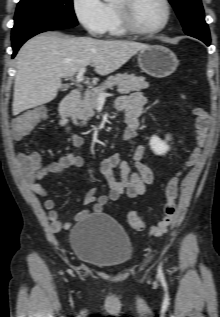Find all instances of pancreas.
<instances>
[{
	"mask_svg": "<svg viewBox=\"0 0 220 317\" xmlns=\"http://www.w3.org/2000/svg\"><path fill=\"white\" fill-rule=\"evenodd\" d=\"M113 86H117V91L121 94H127L131 91H139L146 89L149 84L142 76H136L128 73H118L114 76H110L98 87L86 91L83 99L78 105V110L75 113L73 120L76 125H86L87 121L94 116L95 108L97 105L100 92H104L107 89H113ZM78 120H81L79 123Z\"/></svg>",
	"mask_w": 220,
	"mask_h": 317,
	"instance_id": "pancreas-1",
	"label": "pancreas"
}]
</instances>
